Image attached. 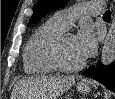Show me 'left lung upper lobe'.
<instances>
[{
  "mask_svg": "<svg viewBox=\"0 0 115 99\" xmlns=\"http://www.w3.org/2000/svg\"><path fill=\"white\" fill-rule=\"evenodd\" d=\"M68 0H39L29 25L38 22L42 17L52 10L64 5Z\"/></svg>",
  "mask_w": 115,
  "mask_h": 99,
  "instance_id": "1",
  "label": "left lung upper lobe"
}]
</instances>
